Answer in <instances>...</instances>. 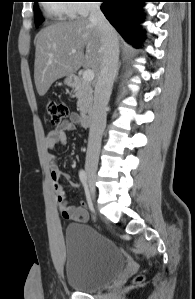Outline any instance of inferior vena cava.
<instances>
[{
    "label": "inferior vena cava",
    "instance_id": "1",
    "mask_svg": "<svg viewBox=\"0 0 195 299\" xmlns=\"http://www.w3.org/2000/svg\"><path fill=\"white\" fill-rule=\"evenodd\" d=\"M89 21L99 27L102 42V65L94 92V103L90 114V129L86 153V167H97L102 135L106 126V110L117 73L119 40L117 33L105 18L98 2L89 5Z\"/></svg>",
    "mask_w": 195,
    "mask_h": 299
}]
</instances>
